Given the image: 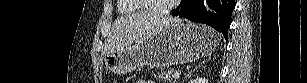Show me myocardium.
Returning <instances> with one entry per match:
<instances>
[{"instance_id":"obj_1","label":"myocardium","mask_w":307,"mask_h":83,"mask_svg":"<svg viewBox=\"0 0 307 83\" xmlns=\"http://www.w3.org/2000/svg\"><path fill=\"white\" fill-rule=\"evenodd\" d=\"M134 1H136V3L144 9V11L150 12L153 15L161 16L170 13L180 0H172L170 3H168L163 7H160L157 10H150L147 4L145 3V0H134Z\"/></svg>"}]
</instances>
